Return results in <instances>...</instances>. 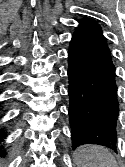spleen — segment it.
<instances>
[{"mask_svg": "<svg viewBox=\"0 0 125 167\" xmlns=\"http://www.w3.org/2000/svg\"><path fill=\"white\" fill-rule=\"evenodd\" d=\"M77 167H119L114 155L99 145H84L74 152Z\"/></svg>", "mask_w": 125, "mask_h": 167, "instance_id": "1", "label": "spleen"}]
</instances>
